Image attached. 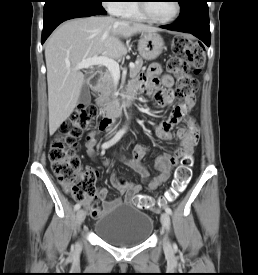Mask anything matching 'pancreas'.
Listing matches in <instances>:
<instances>
[{
    "label": "pancreas",
    "mask_w": 258,
    "mask_h": 275,
    "mask_svg": "<svg viewBox=\"0 0 258 275\" xmlns=\"http://www.w3.org/2000/svg\"><path fill=\"white\" fill-rule=\"evenodd\" d=\"M143 65V60L141 58H137L135 61V67L130 69V77L134 78L140 72ZM98 98L96 100L99 105H106L110 101L116 99L114 92L116 91L115 79L110 73L107 71L104 73L102 78V83L97 88Z\"/></svg>",
    "instance_id": "obj_1"
}]
</instances>
